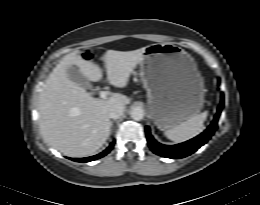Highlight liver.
I'll return each mask as SVG.
<instances>
[{
  "label": "liver",
  "mask_w": 260,
  "mask_h": 205,
  "mask_svg": "<svg viewBox=\"0 0 260 205\" xmlns=\"http://www.w3.org/2000/svg\"><path fill=\"white\" fill-rule=\"evenodd\" d=\"M144 51L145 47L133 51L108 50L104 57L108 82L126 87L131 73L142 62ZM73 65L90 81L102 79L99 65L84 60L79 51L65 55L49 74L39 96L40 130L44 139L64 155L85 157L102 147L110 135L109 108L125 106L130 98L120 93L107 99L93 98L69 79L68 70Z\"/></svg>",
  "instance_id": "obj_1"
}]
</instances>
